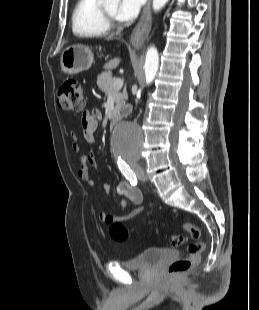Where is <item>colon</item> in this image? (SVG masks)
<instances>
[{"label": "colon", "mask_w": 259, "mask_h": 310, "mask_svg": "<svg viewBox=\"0 0 259 310\" xmlns=\"http://www.w3.org/2000/svg\"><path fill=\"white\" fill-rule=\"evenodd\" d=\"M57 104L65 111L82 112L85 107V98L81 83L76 79H66L58 91ZM182 228L195 242L188 244L187 256L185 258L177 259L170 264L168 273L171 276L185 273L195 266L199 262L201 253L204 250L203 243L198 241L201 237L200 228L191 223H184ZM109 232L111 237L117 242H124L129 237L128 229L122 220L113 221L110 225ZM185 241L186 237L182 234L173 235L170 239L172 247H179Z\"/></svg>", "instance_id": "1"}]
</instances>
